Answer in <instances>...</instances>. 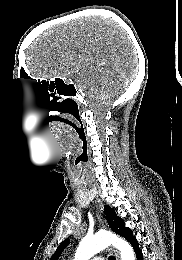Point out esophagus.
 Returning a JSON list of instances; mask_svg holds the SVG:
<instances>
[{"mask_svg": "<svg viewBox=\"0 0 182 260\" xmlns=\"http://www.w3.org/2000/svg\"><path fill=\"white\" fill-rule=\"evenodd\" d=\"M98 209H99V212L101 213L103 210V206L101 203H98ZM113 251H114L116 260H120L119 252L117 250H113Z\"/></svg>", "mask_w": 182, "mask_h": 260, "instance_id": "esophagus-1", "label": "esophagus"}]
</instances>
